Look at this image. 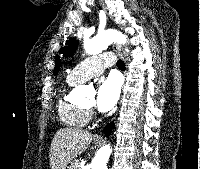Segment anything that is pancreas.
Masks as SVG:
<instances>
[{"label": "pancreas", "instance_id": "obj_1", "mask_svg": "<svg viewBox=\"0 0 200 169\" xmlns=\"http://www.w3.org/2000/svg\"><path fill=\"white\" fill-rule=\"evenodd\" d=\"M68 169H80V162L79 160H74Z\"/></svg>", "mask_w": 200, "mask_h": 169}]
</instances>
